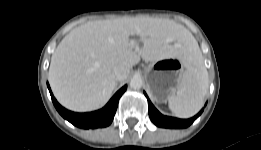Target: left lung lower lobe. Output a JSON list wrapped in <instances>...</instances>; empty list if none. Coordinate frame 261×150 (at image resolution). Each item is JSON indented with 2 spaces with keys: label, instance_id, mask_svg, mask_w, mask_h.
Returning a JSON list of instances; mask_svg holds the SVG:
<instances>
[{
  "label": "left lung lower lobe",
  "instance_id": "0a47b994",
  "mask_svg": "<svg viewBox=\"0 0 261 150\" xmlns=\"http://www.w3.org/2000/svg\"><path fill=\"white\" fill-rule=\"evenodd\" d=\"M145 96L148 99L149 105V116L152 122L158 127L164 128H186L191 125L195 119H197L200 114L203 112V109L193 118L190 119H178L173 117L164 116L158 112V110L153 106L148 96L145 93Z\"/></svg>",
  "mask_w": 261,
  "mask_h": 150
}]
</instances>
